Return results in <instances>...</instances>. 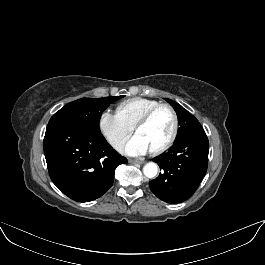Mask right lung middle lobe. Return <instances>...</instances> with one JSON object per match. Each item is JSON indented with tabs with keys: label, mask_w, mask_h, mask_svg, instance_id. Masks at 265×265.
I'll use <instances>...</instances> for the list:
<instances>
[{
	"label": "right lung middle lobe",
	"mask_w": 265,
	"mask_h": 265,
	"mask_svg": "<svg viewBox=\"0 0 265 265\" xmlns=\"http://www.w3.org/2000/svg\"><path fill=\"white\" fill-rule=\"evenodd\" d=\"M122 98L103 97V98H81L66 104L57 111L50 119L48 125L56 123H68L78 125L94 132H101L99 120L103 111L113 102Z\"/></svg>",
	"instance_id": "dd1d6c3e"
}]
</instances>
